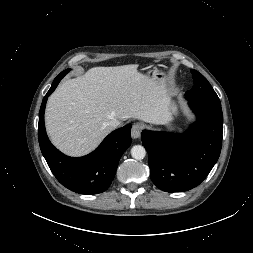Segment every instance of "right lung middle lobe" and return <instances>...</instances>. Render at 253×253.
<instances>
[{
    "mask_svg": "<svg viewBox=\"0 0 253 253\" xmlns=\"http://www.w3.org/2000/svg\"><path fill=\"white\" fill-rule=\"evenodd\" d=\"M69 71H70V69H66L63 72H61L58 76L62 75L64 77Z\"/></svg>",
    "mask_w": 253,
    "mask_h": 253,
    "instance_id": "right-lung-middle-lobe-1",
    "label": "right lung middle lobe"
}]
</instances>
